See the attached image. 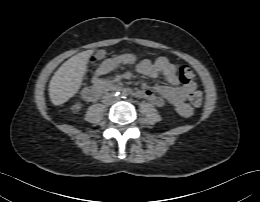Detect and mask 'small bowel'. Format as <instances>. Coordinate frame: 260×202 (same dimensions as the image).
Wrapping results in <instances>:
<instances>
[{
	"mask_svg": "<svg viewBox=\"0 0 260 202\" xmlns=\"http://www.w3.org/2000/svg\"><path fill=\"white\" fill-rule=\"evenodd\" d=\"M135 57L130 54H123L106 59L97 69L93 78V85L101 81L116 82L122 78H129L130 74L115 75L110 78L103 76L109 74L123 66L133 64ZM137 71L145 77L156 78L161 75L168 85H160L156 87H141L135 90V95L150 101L157 107H162L165 101L172 104L177 113L182 117L192 115V108L186 102V96L194 91L197 87L195 82L181 84L176 74L175 65L166 57H159L154 62L150 60H142L137 64Z\"/></svg>",
	"mask_w": 260,
	"mask_h": 202,
	"instance_id": "1",
	"label": "small bowel"
}]
</instances>
